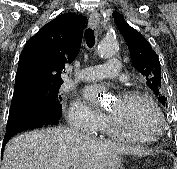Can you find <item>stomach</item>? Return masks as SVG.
Instances as JSON below:
<instances>
[{"label": "stomach", "instance_id": "1", "mask_svg": "<svg viewBox=\"0 0 177 169\" xmlns=\"http://www.w3.org/2000/svg\"><path fill=\"white\" fill-rule=\"evenodd\" d=\"M121 159L117 156L105 167V169H119Z\"/></svg>", "mask_w": 177, "mask_h": 169}]
</instances>
